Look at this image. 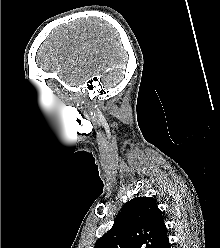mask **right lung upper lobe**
I'll use <instances>...</instances> for the list:
<instances>
[{"instance_id": "right-lung-upper-lobe-1", "label": "right lung upper lobe", "mask_w": 220, "mask_h": 248, "mask_svg": "<svg viewBox=\"0 0 220 248\" xmlns=\"http://www.w3.org/2000/svg\"><path fill=\"white\" fill-rule=\"evenodd\" d=\"M166 231L155 200L134 198L124 204L113 227L94 248H158L167 237Z\"/></svg>"}]
</instances>
